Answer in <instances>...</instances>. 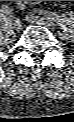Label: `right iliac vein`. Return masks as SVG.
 Here are the masks:
<instances>
[{
    "label": "right iliac vein",
    "instance_id": "63e3f726",
    "mask_svg": "<svg viewBox=\"0 0 74 122\" xmlns=\"http://www.w3.org/2000/svg\"><path fill=\"white\" fill-rule=\"evenodd\" d=\"M13 26L16 30H20L22 27V22L19 19H14Z\"/></svg>",
    "mask_w": 74,
    "mask_h": 122
}]
</instances>
